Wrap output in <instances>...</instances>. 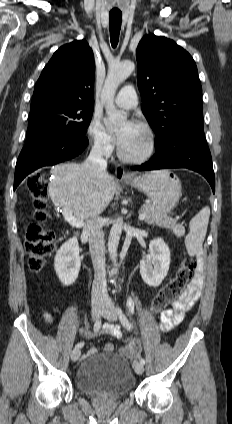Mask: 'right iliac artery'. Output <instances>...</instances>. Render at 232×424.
<instances>
[{
    "label": "right iliac artery",
    "mask_w": 232,
    "mask_h": 424,
    "mask_svg": "<svg viewBox=\"0 0 232 424\" xmlns=\"http://www.w3.org/2000/svg\"><path fill=\"white\" fill-rule=\"evenodd\" d=\"M100 328H101V319H98V320H96V322L94 323V327H93V329H94V331H98ZM83 345H84V343H83V342L77 343V344L75 345V348H82V347H83Z\"/></svg>",
    "instance_id": "right-iliac-artery-1"
}]
</instances>
